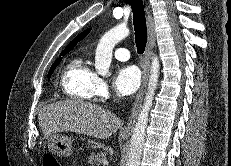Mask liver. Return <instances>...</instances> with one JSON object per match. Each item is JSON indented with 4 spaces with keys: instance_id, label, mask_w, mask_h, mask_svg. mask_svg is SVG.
<instances>
[{
    "instance_id": "obj_1",
    "label": "liver",
    "mask_w": 231,
    "mask_h": 166,
    "mask_svg": "<svg viewBox=\"0 0 231 166\" xmlns=\"http://www.w3.org/2000/svg\"><path fill=\"white\" fill-rule=\"evenodd\" d=\"M38 121L44 139L58 132H76L106 139L122 126V121L114 113L80 100L45 105L38 113Z\"/></svg>"
}]
</instances>
